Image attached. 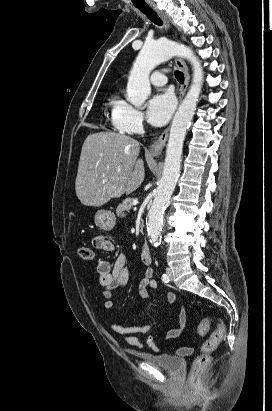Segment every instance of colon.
Instances as JSON below:
<instances>
[{
	"instance_id": "1",
	"label": "colon",
	"mask_w": 272,
	"mask_h": 411,
	"mask_svg": "<svg viewBox=\"0 0 272 411\" xmlns=\"http://www.w3.org/2000/svg\"><path fill=\"white\" fill-rule=\"evenodd\" d=\"M79 256L86 261H91L94 257L93 250L88 246H81L78 248ZM211 324V318L206 317L201 320L198 326V333L205 335ZM226 334V325L223 321L219 320L216 329L213 331L208 340H206L201 347L200 353L195 358L191 372L189 375V384L192 387L201 386V377L210 363L211 353L218 347V345L224 340Z\"/></svg>"
}]
</instances>
